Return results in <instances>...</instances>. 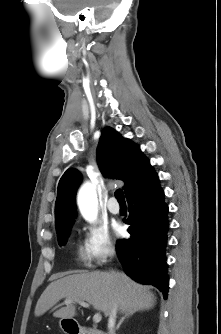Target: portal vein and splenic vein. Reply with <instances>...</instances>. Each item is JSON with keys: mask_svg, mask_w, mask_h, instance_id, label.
<instances>
[{"mask_svg": "<svg viewBox=\"0 0 221 334\" xmlns=\"http://www.w3.org/2000/svg\"><path fill=\"white\" fill-rule=\"evenodd\" d=\"M79 303V305L85 307V308H89V304L84 302V301H77ZM65 303L68 304V303H71V300L70 299H66L65 300ZM102 320V315L100 313H95L94 316H93V321L95 323H99L100 321Z\"/></svg>", "mask_w": 221, "mask_h": 334, "instance_id": "obj_1", "label": "portal vein and splenic vein"}]
</instances>
